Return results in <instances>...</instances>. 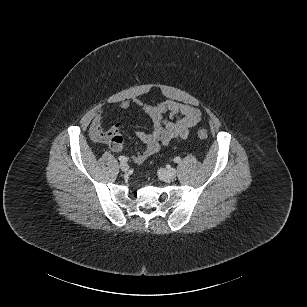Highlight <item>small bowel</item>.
Listing matches in <instances>:
<instances>
[{
    "instance_id": "c3829d8e",
    "label": "small bowel",
    "mask_w": 307,
    "mask_h": 307,
    "mask_svg": "<svg viewBox=\"0 0 307 307\" xmlns=\"http://www.w3.org/2000/svg\"><path fill=\"white\" fill-rule=\"evenodd\" d=\"M136 105L142 108L150 119L151 132L138 131L137 137L144 145V149L137 155H132L131 159L135 163H142L148 157L157 153L161 145L167 146L174 141H183L189 136L190 129L196 126L201 120V112L194 106L167 100L157 105L144 104L137 101ZM130 101H124L118 105L120 109H128ZM105 109H100L90 126L89 135L95 142H108L111 132H118L119 126L113 125L104 128L102 118Z\"/></svg>"
}]
</instances>
